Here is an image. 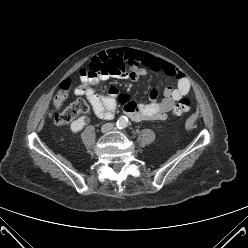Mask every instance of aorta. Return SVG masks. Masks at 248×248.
Segmentation results:
<instances>
[{
	"instance_id": "obj_1",
	"label": "aorta",
	"mask_w": 248,
	"mask_h": 248,
	"mask_svg": "<svg viewBox=\"0 0 248 248\" xmlns=\"http://www.w3.org/2000/svg\"><path fill=\"white\" fill-rule=\"evenodd\" d=\"M117 127L118 128H125L128 124V118L125 116H121L118 120H117Z\"/></svg>"
}]
</instances>
